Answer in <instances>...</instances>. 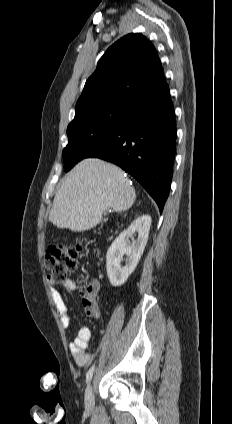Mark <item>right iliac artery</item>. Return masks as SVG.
<instances>
[{
    "label": "right iliac artery",
    "instance_id": "obj_1",
    "mask_svg": "<svg viewBox=\"0 0 232 424\" xmlns=\"http://www.w3.org/2000/svg\"><path fill=\"white\" fill-rule=\"evenodd\" d=\"M94 369H95V365L93 364V365L90 367V369H89V371L87 372V374H86V382H87V383H89V382H90V380L92 379V375H93Z\"/></svg>",
    "mask_w": 232,
    "mask_h": 424
}]
</instances>
